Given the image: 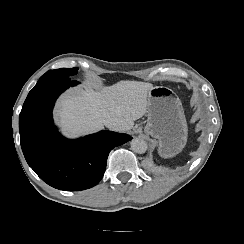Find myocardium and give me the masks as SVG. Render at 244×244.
Masks as SVG:
<instances>
[{"label": "myocardium", "instance_id": "myocardium-1", "mask_svg": "<svg viewBox=\"0 0 244 244\" xmlns=\"http://www.w3.org/2000/svg\"><path fill=\"white\" fill-rule=\"evenodd\" d=\"M108 169H109V165L107 164L106 171H108Z\"/></svg>", "mask_w": 244, "mask_h": 244}]
</instances>
